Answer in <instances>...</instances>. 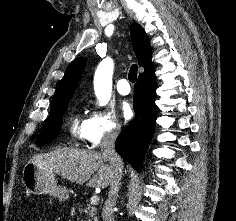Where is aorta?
I'll list each match as a JSON object with an SVG mask.
<instances>
[{
  "label": "aorta",
  "instance_id": "obj_1",
  "mask_svg": "<svg viewBox=\"0 0 236 221\" xmlns=\"http://www.w3.org/2000/svg\"><path fill=\"white\" fill-rule=\"evenodd\" d=\"M102 68V79L100 85L95 87V93L97 98L100 100L101 105H105L112 92V75L114 69V63L111 58H106L101 62Z\"/></svg>",
  "mask_w": 236,
  "mask_h": 221
}]
</instances>
